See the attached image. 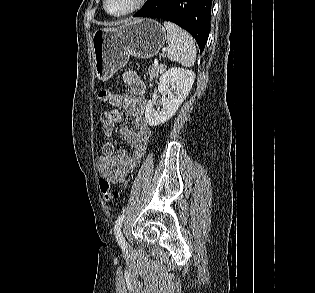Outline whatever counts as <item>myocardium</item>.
Listing matches in <instances>:
<instances>
[{"instance_id":"f54148a6","label":"myocardium","mask_w":315,"mask_h":293,"mask_svg":"<svg viewBox=\"0 0 315 293\" xmlns=\"http://www.w3.org/2000/svg\"><path fill=\"white\" fill-rule=\"evenodd\" d=\"M147 2V0H136L134 5L125 12L113 14L107 9V0H103V8L105 12L112 17H124L139 11Z\"/></svg>"}]
</instances>
